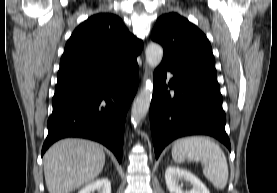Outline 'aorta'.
Returning <instances> with one entry per match:
<instances>
[{"label": "aorta", "instance_id": "obj_1", "mask_svg": "<svg viewBox=\"0 0 277 193\" xmlns=\"http://www.w3.org/2000/svg\"><path fill=\"white\" fill-rule=\"evenodd\" d=\"M145 54L148 65L152 69H155L162 61L163 49L156 43H150L146 48ZM152 93L153 78L151 77L146 80L145 86L141 89L138 96L134 100L131 110V121L134 127L139 125L147 115L152 99Z\"/></svg>", "mask_w": 277, "mask_h": 193}]
</instances>
